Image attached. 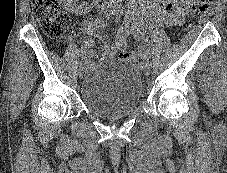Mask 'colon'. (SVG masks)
Returning a JSON list of instances; mask_svg holds the SVG:
<instances>
[{"mask_svg": "<svg viewBox=\"0 0 227 173\" xmlns=\"http://www.w3.org/2000/svg\"><path fill=\"white\" fill-rule=\"evenodd\" d=\"M212 0H194V7L199 12H207ZM33 12L46 36L61 39L69 26V17L59 9L58 0H32ZM120 57L137 61L139 55L134 52H121Z\"/></svg>", "mask_w": 227, "mask_h": 173, "instance_id": "5ec220e1", "label": "colon"}]
</instances>
